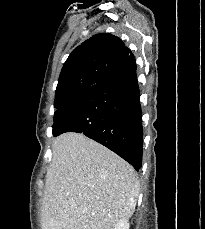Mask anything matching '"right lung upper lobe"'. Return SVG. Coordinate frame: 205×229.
<instances>
[{
	"label": "right lung upper lobe",
	"instance_id": "1",
	"mask_svg": "<svg viewBox=\"0 0 205 229\" xmlns=\"http://www.w3.org/2000/svg\"><path fill=\"white\" fill-rule=\"evenodd\" d=\"M130 49L109 33H99L75 48L62 68L54 106L73 98L109 75L129 57Z\"/></svg>",
	"mask_w": 205,
	"mask_h": 229
}]
</instances>
